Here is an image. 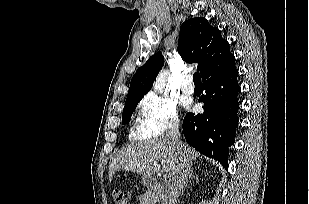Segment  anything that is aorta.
<instances>
[{
	"instance_id": "aorta-1",
	"label": "aorta",
	"mask_w": 309,
	"mask_h": 204,
	"mask_svg": "<svg viewBox=\"0 0 309 204\" xmlns=\"http://www.w3.org/2000/svg\"><path fill=\"white\" fill-rule=\"evenodd\" d=\"M167 75H168V71H166V70H163L158 74V76H157V78L154 82V85H153V89H154L155 92H158V93L163 92L164 87L166 85Z\"/></svg>"
}]
</instances>
